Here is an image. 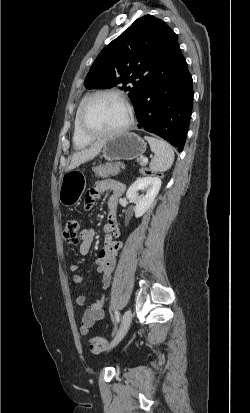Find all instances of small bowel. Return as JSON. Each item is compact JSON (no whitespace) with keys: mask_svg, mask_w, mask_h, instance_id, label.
<instances>
[{"mask_svg":"<svg viewBox=\"0 0 250 413\" xmlns=\"http://www.w3.org/2000/svg\"><path fill=\"white\" fill-rule=\"evenodd\" d=\"M125 189L124 184L116 179H109L97 182L86 194L85 210L89 211L93 207L97 198L104 193H108L107 200V222L103 227L105 233V240L103 247L100 249L97 258L94 261L96 272L101 277V284L103 289H107L110 284L111 275L116 263V257L122 248L120 240V230L116 221L117 200L123 194ZM95 229L87 227L80 231L82 237L79 246V253L81 256L88 254L95 237ZM69 270L74 273L73 281L75 283H82L85 279L84 274L80 272L79 265L72 263L69 265ZM104 296L101 295L94 302L85 307L82 320L81 332L87 334L88 331L104 317L103 310ZM76 304L80 307L86 305V297L79 295L76 299ZM93 353H100L103 349H90Z\"/></svg>","mask_w":250,"mask_h":413,"instance_id":"obj_1","label":"small bowel"}]
</instances>
